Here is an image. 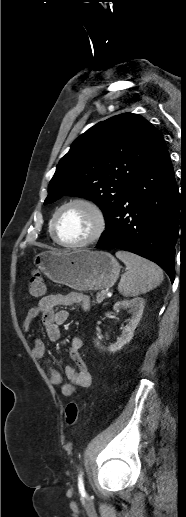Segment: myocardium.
I'll list each match as a JSON object with an SVG mask.
<instances>
[{"instance_id":"obj_1","label":"myocardium","mask_w":186,"mask_h":517,"mask_svg":"<svg viewBox=\"0 0 186 517\" xmlns=\"http://www.w3.org/2000/svg\"><path fill=\"white\" fill-rule=\"evenodd\" d=\"M75 205L83 206L91 212V214L93 215V218H94V228H93L91 234L88 237H86L84 240H82L80 242H76V243H68V242L62 241L60 239V237L58 236L57 220H58L59 215L61 214V212L64 209H66L70 206H75ZM106 225H107L106 216H105L102 208L95 201H93L89 198H86V197H77V198H74V199H71V200L65 202L64 204H62L60 207L57 208V210L54 212V214L52 216L50 229H51V234H52L53 239L60 246H63L66 248H71V249H77V248L86 247V246L91 245L94 242H96L103 235V233L106 229Z\"/></svg>"}]
</instances>
